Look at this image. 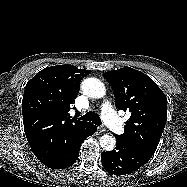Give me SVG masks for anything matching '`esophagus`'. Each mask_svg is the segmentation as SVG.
Segmentation results:
<instances>
[{"instance_id":"esophagus-1","label":"esophagus","mask_w":187,"mask_h":187,"mask_svg":"<svg viewBox=\"0 0 187 187\" xmlns=\"http://www.w3.org/2000/svg\"><path fill=\"white\" fill-rule=\"evenodd\" d=\"M100 132H105L107 128L102 124L101 126L98 127Z\"/></svg>"}]
</instances>
